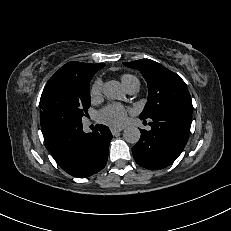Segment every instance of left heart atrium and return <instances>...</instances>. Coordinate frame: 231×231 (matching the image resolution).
Returning <instances> with one entry per match:
<instances>
[{
  "mask_svg": "<svg viewBox=\"0 0 231 231\" xmlns=\"http://www.w3.org/2000/svg\"><path fill=\"white\" fill-rule=\"evenodd\" d=\"M98 119L110 127L120 128L127 122V110L119 104H110L99 112Z\"/></svg>",
  "mask_w": 231,
  "mask_h": 231,
  "instance_id": "left-heart-atrium-1",
  "label": "left heart atrium"
}]
</instances>
